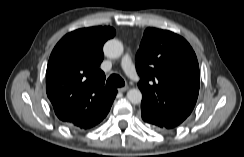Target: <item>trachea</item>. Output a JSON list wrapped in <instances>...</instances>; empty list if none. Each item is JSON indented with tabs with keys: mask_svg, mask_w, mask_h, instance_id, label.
<instances>
[{
	"mask_svg": "<svg viewBox=\"0 0 244 157\" xmlns=\"http://www.w3.org/2000/svg\"><path fill=\"white\" fill-rule=\"evenodd\" d=\"M125 85L124 80L117 74H112L106 82L107 87H123Z\"/></svg>",
	"mask_w": 244,
	"mask_h": 157,
	"instance_id": "3493384b",
	"label": "trachea"
}]
</instances>
